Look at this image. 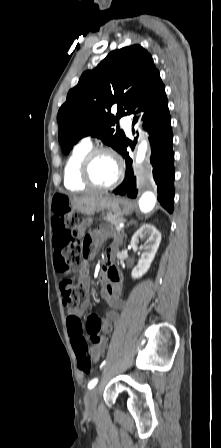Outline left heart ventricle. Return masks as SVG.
Returning <instances> with one entry per match:
<instances>
[{
	"instance_id": "left-heart-ventricle-1",
	"label": "left heart ventricle",
	"mask_w": 221,
	"mask_h": 448,
	"mask_svg": "<svg viewBox=\"0 0 221 448\" xmlns=\"http://www.w3.org/2000/svg\"><path fill=\"white\" fill-rule=\"evenodd\" d=\"M91 175L98 184H110L117 175V164L114 158L110 155L96 157L92 164Z\"/></svg>"
}]
</instances>
